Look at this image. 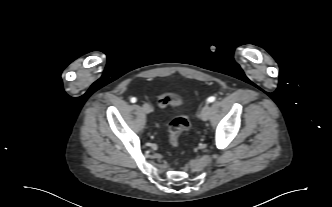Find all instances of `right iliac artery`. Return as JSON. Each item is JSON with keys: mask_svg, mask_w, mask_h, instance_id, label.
Instances as JSON below:
<instances>
[{"mask_svg": "<svg viewBox=\"0 0 332 207\" xmlns=\"http://www.w3.org/2000/svg\"><path fill=\"white\" fill-rule=\"evenodd\" d=\"M130 101H131L132 103H135V102L137 101V99H136L135 97H132V98L130 99Z\"/></svg>", "mask_w": 332, "mask_h": 207, "instance_id": "obj_1", "label": "right iliac artery"}]
</instances>
